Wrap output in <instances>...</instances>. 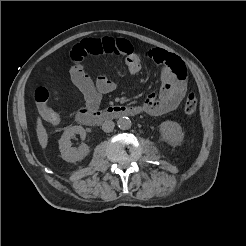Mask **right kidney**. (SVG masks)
Here are the masks:
<instances>
[{
	"label": "right kidney",
	"mask_w": 246,
	"mask_h": 246,
	"mask_svg": "<svg viewBox=\"0 0 246 246\" xmlns=\"http://www.w3.org/2000/svg\"><path fill=\"white\" fill-rule=\"evenodd\" d=\"M75 134H79L82 139L86 137V131L82 126L68 127L59 140V149L61 157L67 162H76L85 158L90 152V148L86 144H81L79 148L71 147V138Z\"/></svg>",
	"instance_id": "obj_1"
}]
</instances>
